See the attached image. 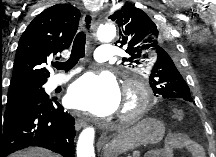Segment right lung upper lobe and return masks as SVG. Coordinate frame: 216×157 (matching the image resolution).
Segmentation results:
<instances>
[{
    "label": "right lung upper lobe",
    "mask_w": 216,
    "mask_h": 157,
    "mask_svg": "<svg viewBox=\"0 0 216 157\" xmlns=\"http://www.w3.org/2000/svg\"><path fill=\"white\" fill-rule=\"evenodd\" d=\"M80 11L69 4L47 8L27 26L16 51L9 91L43 85L50 57L68 49L78 28Z\"/></svg>",
    "instance_id": "right-lung-upper-lobe-1"
}]
</instances>
